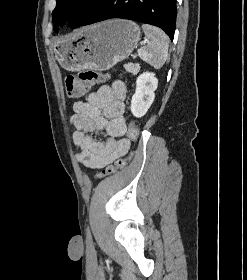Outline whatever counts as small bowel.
<instances>
[{
    "instance_id": "small-bowel-1",
    "label": "small bowel",
    "mask_w": 247,
    "mask_h": 280,
    "mask_svg": "<svg viewBox=\"0 0 247 280\" xmlns=\"http://www.w3.org/2000/svg\"><path fill=\"white\" fill-rule=\"evenodd\" d=\"M126 96L125 83L115 81L73 104V141L80 148L77 159L85 167L104 168L128 152L130 144L124 137Z\"/></svg>"
}]
</instances>
